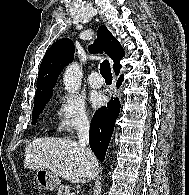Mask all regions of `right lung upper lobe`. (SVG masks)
<instances>
[{"label":"right lung upper lobe","instance_id":"obj_1","mask_svg":"<svg viewBox=\"0 0 189 195\" xmlns=\"http://www.w3.org/2000/svg\"><path fill=\"white\" fill-rule=\"evenodd\" d=\"M74 44L68 38L60 39L47 50L40 65L37 78V91L34 103L52 96L53 88L63 68L74 58ZM90 53L105 52L113 61L115 73L121 69L120 60L125 52L118 40L111 34L106 26H100L97 31V39L89 46Z\"/></svg>","mask_w":189,"mask_h":195}]
</instances>
